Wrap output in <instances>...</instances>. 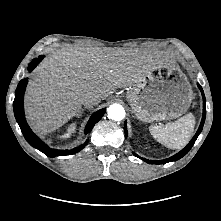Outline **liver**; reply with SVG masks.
I'll return each mask as SVG.
<instances>
[{"label": "liver", "instance_id": "obj_1", "mask_svg": "<svg viewBox=\"0 0 221 221\" xmlns=\"http://www.w3.org/2000/svg\"><path fill=\"white\" fill-rule=\"evenodd\" d=\"M157 52L123 48L68 47L53 52L29 81L25 108L30 126L50 133L82 108L88 92L106 99L116 88L140 81L162 66Z\"/></svg>", "mask_w": 221, "mask_h": 221}]
</instances>
